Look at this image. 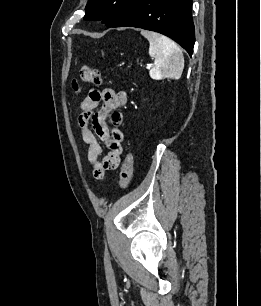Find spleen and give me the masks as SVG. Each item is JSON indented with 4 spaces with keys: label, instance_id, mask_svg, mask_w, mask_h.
I'll return each instance as SVG.
<instances>
[{
    "label": "spleen",
    "instance_id": "obj_1",
    "mask_svg": "<svg viewBox=\"0 0 261 306\" xmlns=\"http://www.w3.org/2000/svg\"><path fill=\"white\" fill-rule=\"evenodd\" d=\"M141 34L149 41V55L154 58L150 77L156 80L179 79L184 69V57L180 47L159 33L142 30Z\"/></svg>",
    "mask_w": 261,
    "mask_h": 306
}]
</instances>
